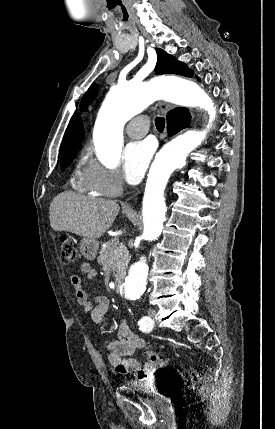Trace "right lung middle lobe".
Returning <instances> with one entry per match:
<instances>
[{
    "instance_id": "dd1d6c3e",
    "label": "right lung middle lobe",
    "mask_w": 275,
    "mask_h": 429,
    "mask_svg": "<svg viewBox=\"0 0 275 429\" xmlns=\"http://www.w3.org/2000/svg\"><path fill=\"white\" fill-rule=\"evenodd\" d=\"M76 155L77 154H73V155H68V156L61 158V170L62 171H64L66 169V167H68L71 164L73 158H75Z\"/></svg>"
}]
</instances>
